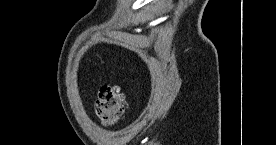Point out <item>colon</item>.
I'll list each match as a JSON object with an SVG mask.
<instances>
[{
  "mask_svg": "<svg viewBox=\"0 0 276 145\" xmlns=\"http://www.w3.org/2000/svg\"><path fill=\"white\" fill-rule=\"evenodd\" d=\"M126 98L118 86L104 85L99 89L95 109L99 118L107 125H115L122 118Z\"/></svg>",
  "mask_w": 276,
  "mask_h": 145,
  "instance_id": "5ec220e1",
  "label": "colon"
}]
</instances>
